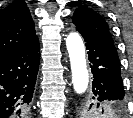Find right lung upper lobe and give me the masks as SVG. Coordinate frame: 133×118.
Segmentation results:
<instances>
[{
    "instance_id": "right-lung-upper-lobe-1",
    "label": "right lung upper lobe",
    "mask_w": 133,
    "mask_h": 118,
    "mask_svg": "<svg viewBox=\"0 0 133 118\" xmlns=\"http://www.w3.org/2000/svg\"><path fill=\"white\" fill-rule=\"evenodd\" d=\"M37 39L24 0L14 1L0 12V59Z\"/></svg>"
}]
</instances>
